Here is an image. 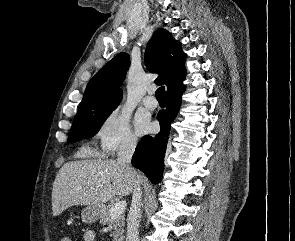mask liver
<instances>
[{
	"instance_id": "1",
	"label": "liver",
	"mask_w": 295,
	"mask_h": 241,
	"mask_svg": "<svg viewBox=\"0 0 295 241\" xmlns=\"http://www.w3.org/2000/svg\"><path fill=\"white\" fill-rule=\"evenodd\" d=\"M132 177L116 160H80L65 163L53 183L52 211L59 216L73 205L104 204L116 195L128 196L134 181L142 183L137 172Z\"/></svg>"
}]
</instances>
